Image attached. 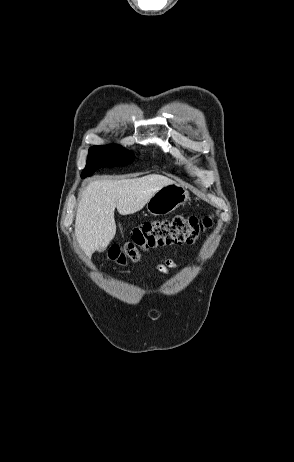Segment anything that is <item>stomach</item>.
Returning a JSON list of instances; mask_svg holds the SVG:
<instances>
[{
    "mask_svg": "<svg viewBox=\"0 0 294 462\" xmlns=\"http://www.w3.org/2000/svg\"><path fill=\"white\" fill-rule=\"evenodd\" d=\"M189 199L188 191L178 184L162 187L149 199L146 209L153 216L167 215Z\"/></svg>",
    "mask_w": 294,
    "mask_h": 462,
    "instance_id": "stomach-1",
    "label": "stomach"
}]
</instances>
